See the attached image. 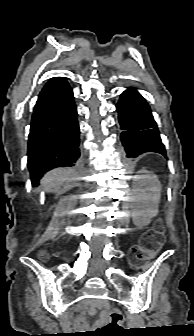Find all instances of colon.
<instances>
[{
  "label": "colon",
  "mask_w": 194,
  "mask_h": 336,
  "mask_svg": "<svg viewBox=\"0 0 194 336\" xmlns=\"http://www.w3.org/2000/svg\"><path fill=\"white\" fill-rule=\"evenodd\" d=\"M164 238L162 231L160 229L149 231L145 237L142 246L132 248L130 251V262L133 265L153 256L156 254L163 246ZM40 256L44 259L48 258V255L44 252L40 253ZM124 321V315L122 312L115 308L109 313L108 322L100 328L98 333H104L108 331L118 330L122 327Z\"/></svg>",
  "instance_id": "5ec220e1"
}]
</instances>
